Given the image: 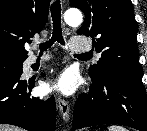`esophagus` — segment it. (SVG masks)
<instances>
[{"mask_svg": "<svg viewBox=\"0 0 147 131\" xmlns=\"http://www.w3.org/2000/svg\"><path fill=\"white\" fill-rule=\"evenodd\" d=\"M58 106L60 110V114L65 122L69 120L70 116V105L69 102L64 99L61 95H58L57 97Z\"/></svg>", "mask_w": 147, "mask_h": 131, "instance_id": "1", "label": "esophagus"}]
</instances>
